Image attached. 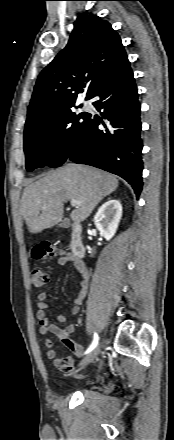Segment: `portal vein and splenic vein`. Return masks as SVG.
<instances>
[{"label":"portal vein and splenic vein","instance_id":"obj_1","mask_svg":"<svg viewBox=\"0 0 174 440\" xmlns=\"http://www.w3.org/2000/svg\"><path fill=\"white\" fill-rule=\"evenodd\" d=\"M70 203H71V205H72V206H75V207H76V206H80V205H81V203H80V202H78L77 200H74V199H73V200H71V201H70Z\"/></svg>","mask_w":174,"mask_h":440}]
</instances>
